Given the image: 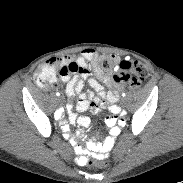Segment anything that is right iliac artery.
Segmentation results:
<instances>
[{"label": "right iliac artery", "mask_w": 183, "mask_h": 183, "mask_svg": "<svg viewBox=\"0 0 183 183\" xmlns=\"http://www.w3.org/2000/svg\"><path fill=\"white\" fill-rule=\"evenodd\" d=\"M57 96H59L60 94L59 93H56ZM61 114H62V111L61 110H58L55 112V117L56 118H60L61 117Z\"/></svg>", "instance_id": "82829eb1"}]
</instances>
